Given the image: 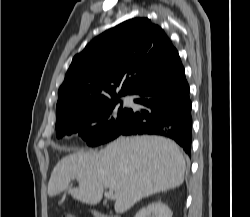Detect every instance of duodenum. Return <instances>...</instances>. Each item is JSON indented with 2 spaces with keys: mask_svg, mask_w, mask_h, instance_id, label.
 I'll return each mask as SVG.
<instances>
[{
  "mask_svg": "<svg viewBox=\"0 0 250 217\" xmlns=\"http://www.w3.org/2000/svg\"><path fill=\"white\" fill-rule=\"evenodd\" d=\"M95 217H119V216H108V215L103 214L101 212H95Z\"/></svg>",
  "mask_w": 250,
  "mask_h": 217,
  "instance_id": "410a0bca",
  "label": "duodenum"
}]
</instances>
